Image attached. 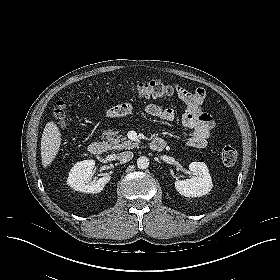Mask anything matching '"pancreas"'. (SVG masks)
Returning <instances> with one entry per match:
<instances>
[{
  "label": "pancreas",
  "instance_id": "obj_1",
  "mask_svg": "<svg viewBox=\"0 0 280 280\" xmlns=\"http://www.w3.org/2000/svg\"><path fill=\"white\" fill-rule=\"evenodd\" d=\"M103 135L109 142L106 145L110 150L133 149L136 146V143L127 140L126 137L119 136L117 131L107 130Z\"/></svg>",
  "mask_w": 280,
  "mask_h": 280
}]
</instances>
